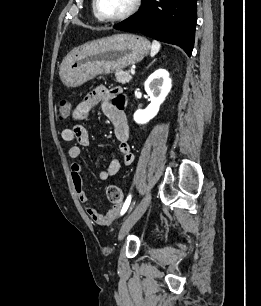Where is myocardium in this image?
Instances as JSON below:
<instances>
[{
  "mask_svg": "<svg viewBox=\"0 0 261 306\" xmlns=\"http://www.w3.org/2000/svg\"><path fill=\"white\" fill-rule=\"evenodd\" d=\"M141 1L142 0H133L130 8L126 12H124L123 14L118 15V16H114V17H107V16L102 15L101 12L99 11L98 0H93V11H94L95 16L100 21H103V22H119V21L125 20V19L129 18L130 16H132L139 9V7L141 5Z\"/></svg>",
  "mask_w": 261,
  "mask_h": 306,
  "instance_id": "f54148a6",
  "label": "myocardium"
}]
</instances>
